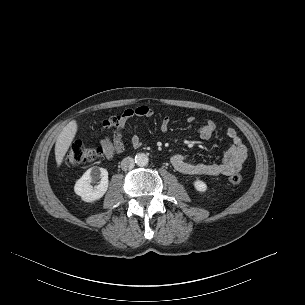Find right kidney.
<instances>
[{"label": "right kidney", "instance_id": "obj_1", "mask_svg": "<svg viewBox=\"0 0 305 305\" xmlns=\"http://www.w3.org/2000/svg\"><path fill=\"white\" fill-rule=\"evenodd\" d=\"M98 182L94 187L92 182ZM108 171L97 166L89 168L83 176L77 180L74 191L85 202H93L103 197L108 189Z\"/></svg>", "mask_w": 305, "mask_h": 305}]
</instances>
